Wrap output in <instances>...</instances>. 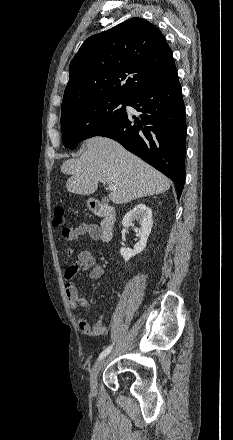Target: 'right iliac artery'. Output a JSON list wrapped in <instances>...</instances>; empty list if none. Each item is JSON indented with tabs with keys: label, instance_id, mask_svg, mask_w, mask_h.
Segmentation results:
<instances>
[{
	"label": "right iliac artery",
	"instance_id": "right-iliac-artery-1",
	"mask_svg": "<svg viewBox=\"0 0 233 440\" xmlns=\"http://www.w3.org/2000/svg\"><path fill=\"white\" fill-rule=\"evenodd\" d=\"M111 349L112 345L103 350L102 353L99 355V359L106 357L110 353Z\"/></svg>",
	"mask_w": 233,
	"mask_h": 440
}]
</instances>
